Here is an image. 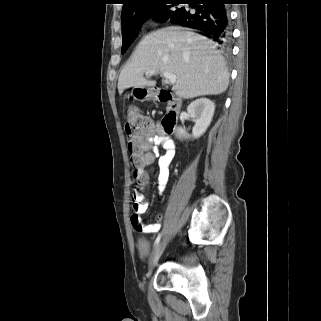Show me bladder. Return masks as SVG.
<instances>
[{"mask_svg":"<svg viewBox=\"0 0 321 321\" xmlns=\"http://www.w3.org/2000/svg\"><path fill=\"white\" fill-rule=\"evenodd\" d=\"M137 248L143 258H147L150 253V241L145 237H140L137 240Z\"/></svg>","mask_w":321,"mask_h":321,"instance_id":"obj_1","label":"bladder"}]
</instances>
